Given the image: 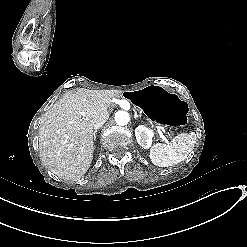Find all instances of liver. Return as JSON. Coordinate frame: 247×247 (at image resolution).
<instances>
[{"label": "liver", "instance_id": "liver-1", "mask_svg": "<svg viewBox=\"0 0 247 247\" xmlns=\"http://www.w3.org/2000/svg\"><path fill=\"white\" fill-rule=\"evenodd\" d=\"M111 103L103 91L76 88L42 116L39 157L50 173L64 181L82 178L94 157L93 125L109 118Z\"/></svg>", "mask_w": 247, "mask_h": 247}]
</instances>
